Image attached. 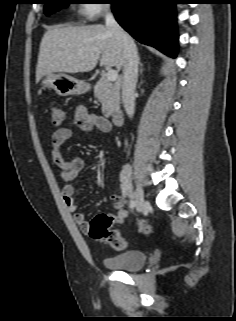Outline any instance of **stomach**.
Segmentation results:
<instances>
[{
  "mask_svg": "<svg viewBox=\"0 0 236 321\" xmlns=\"http://www.w3.org/2000/svg\"><path fill=\"white\" fill-rule=\"evenodd\" d=\"M42 85L55 90L60 96L79 95L89 89L87 83L66 74H47L43 76Z\"/></svg>",
  "mask_w": 236,
  "mask_h": 321,
  "instance_id": "obj_1",
  "label": "stomach"
}]
</instances>
